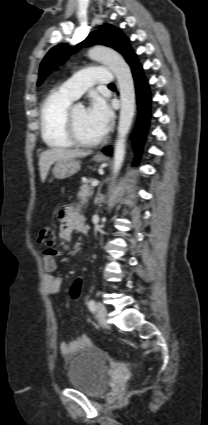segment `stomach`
<instances>
[{
  "label": "stomach",
  "mask_w": 208,
  "mask_h": 425,
  "mask_svg": "<svg viewBox=\"0 0 208 425\" xmlns=\"http://www.w3.org/2000/svg\"><path fill=\"white\" fill-rule=\"evenodd\" d=\"M96 162H103V158L94 157ZM80 170V163L76 159H63L55 163V166L52 170L53 175L56 179H66Z\"/></svg>",
  "instance_id": "obj_1"
}]
</instances>
